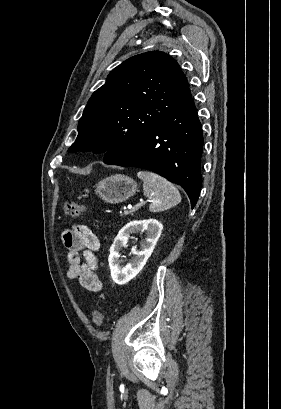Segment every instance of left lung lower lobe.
<instances>
[{
    "label": "left lung lower lobe",
    "mask_w": 281,
    "mask_h": 409,
    "mask_svg": "<svg viewBox=\"0 0 281 409\" xmlns=\"http://www.w3.org/2000/svg\"><path fill=\"white\" fill-rule=\"evenodd\" d=\"M202 126L192 97L107 164L139 167L181 185L194 208L201 190Z\"/></svg>",
    "instance_id": "obj_1"
}]
</instances>
